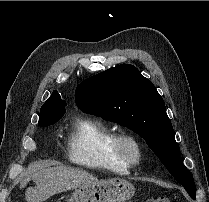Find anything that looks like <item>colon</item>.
Masks as SVG:
<instances>
[{"label": "colon", "instance_id": "1", "mask_svg": "<svg viewBox=\"0 0 209 202\" xmlns=\"http://www.w3.org/2000/svg\"><path fill=\"white\" fill-rule=\"evenodd\" d=\"M145 202H170L167 197L149 198Z\"/></svg>", "mask_w": 209, "mask_h": 202}]
</instances>
